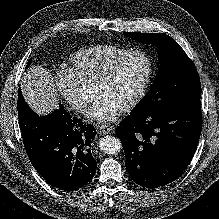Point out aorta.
Masks as SVG:
<instances>
[{"mask_svg": "<svg viewBox=\"0 0 219 219\" xmlns=\"http://www.w3.org/2000/svg\"><path fill=\"white\" fill-rule=\"evenodd\" d=\"M100 149L110 155L118 154L122 149L121 141L114 136H104L99 141Z\"/></svg>", "mask_w": 219, "mask_h": 219, "instance_id": "1", "label": "aorta"}]
</instances>
